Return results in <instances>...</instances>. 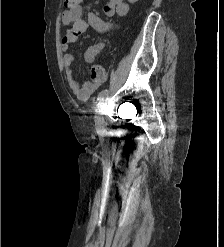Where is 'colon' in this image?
Instances as JSON below:
<instances>
[{"label": "colon", "mask_w": 224, "mask_h": 247, "mask_svg": "<svg viewBox=\"0 0 224 247\" xmlns=\"http://www.w3.org/2000/svg\"><path fill=\"white\" fill-rule=\"evenodd\" d=\"M84 0H64V6L68 9L80 6ZM91 75L94 81H101L105 77V68L101 63L94 64L91 68Z\"/></svg>", "instance_id": "5ec220e1"}]
</instances>
